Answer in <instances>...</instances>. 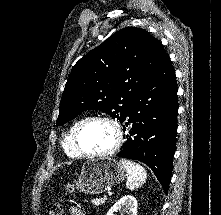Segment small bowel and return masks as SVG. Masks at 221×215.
Instances as JSON below:
<instances>
[{
  "label": "small bowel",
  "instance_id": "1",
  "mask_svg": "<svg viewBox=\"0 0 221 215\" xmlns=\"http://www.w3.org/2000/svg\"><path fill=\"white\" fill-rule=\"evenodd\" d=\"M70 214L71 215H86L79 208L74 207V206L70 207Z\"/></svg>",
  "mask_w": 221,
  "mask_h": 215
}]
</instances>
